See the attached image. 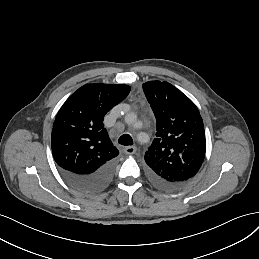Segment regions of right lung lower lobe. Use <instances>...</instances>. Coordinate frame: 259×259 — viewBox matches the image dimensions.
I'll return each mask as SVG.
<instances>
[{
	"mask_svg": "<svg viewBox=\"0 0 259 259\" xmlns=\"http://www.w3.org/2000/svg\"><path fill=\"white\" fill-rule=\"evenodd\" d=\"M116 166V160L113 159L88 174H77L60 168L62 176L75 188L82 191H97L103 188L112 178Z\"/></svg>",
	"mask_w": 259,
	"mask_h": 259,
	"instance_id": "1",
	"label": "right lung lower lobe"
}]
</instances>
